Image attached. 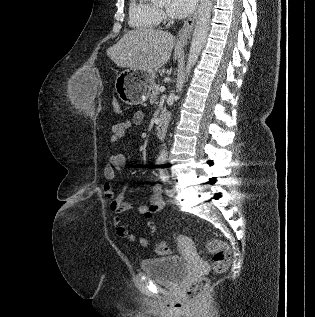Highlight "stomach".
<instances>
[{
  "instance_id": "0dacf381",
  "label": "stomach",
  "mask_w": 315,
  "mask_h": 317,
  "mask_svg": "<svg viewBox=\"0 0 315 317\" xmlns=\"http://www.w3.org/2000/svg\"><path fill=\"white\" fill-rule=\"evenodd\" d=\"M155 77V71H142L134 68L122 71L115 80L118 97L128 105L144 103L155 84Z\"/></svg>"
}]
</instances>
